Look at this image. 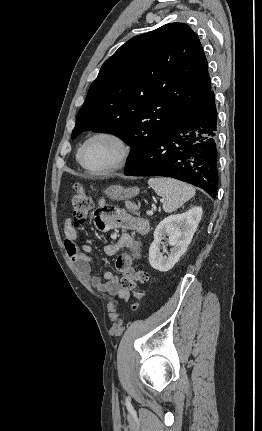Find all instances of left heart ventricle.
I'll list each match as a JSON object with an SVG mask.
<instances>
[{
	"mask_svg": "<svg viewBox=\"0 0 262 431\" xmlns=\"http://www.w3.org/2000/svg\"><path fill=\"white\" fill-rule=\"evenodd\" d=\"M118 155L119 147L113 140L96 139L87 146L84 163L92 170H104L114 165Z\"/></svg>",
	"mask_w": 262,
	"mask_h": 431,
	"instance_id": "b2bd125f",
	"label": "left heart ventricle"
}]
</instances>
